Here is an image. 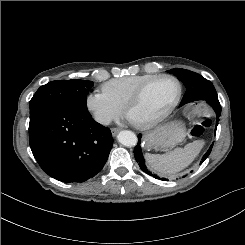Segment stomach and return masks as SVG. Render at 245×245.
Wrapping results in <instances>:
<instances>
[{"label":"stomach","mask_w":245,"mask_h":245,"mask_svg":"<svg viewBox=\"0 0 245 245\" xmlns=\"http://www.w3.org/2000/svg\"><path fill=\"white\" fill-rule=\"evenodd\" d=\"M185 136L186 129L182 122H170L156 127L145 135V148L150 150L158 147H173L180 144Z\"/></svg>","instance_id":"0dacf381"}]
</instances>
